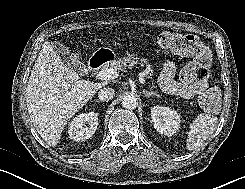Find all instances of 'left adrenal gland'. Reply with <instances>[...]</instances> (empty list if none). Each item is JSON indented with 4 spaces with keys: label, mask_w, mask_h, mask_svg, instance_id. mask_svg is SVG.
I'll use <instances>...</instances> for the list:
<instances>
[{
    "label": "left adrenal gland",
    "mask_w": 245,
    "mask_h": 189,
    "mask_svg": "<svg viewBox=\"0 0 245 189\" xmlns=\"http://www.w3.org/2000/svg\"><path fill=\"white\" fill-rule=\"evenodd\" d=\"M143 94L149 98L151 97L152 95H155L157 97H160V95L157 93V92H153V91H147V90H143Z\"/></svg>",
    "instance_id": "a2214340"
}]
</instances>
